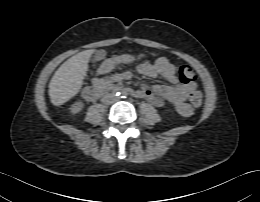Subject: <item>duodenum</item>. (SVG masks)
I'll return each instance as SVG.
<instances>
[{"mask_svg": "<svg viewBox=\"0 0 260 202\" xmlns=\"http://www.w3.org/2000/svg\"><path fill=\"white\" fill-rule=\"evenodd\" d=\"M117 88L113 85L111 82H106V81H100L96 85L87 87L83 90L82 96L84 99L88 101H93L95 100L98 96L101 94L108 92L110 90H116ZM127 93L134 94L131 90L126 89L125 90Z\"/></svg>", "mask_w": 260, "mask_h": 202, "instance_id": "410a0bca", "label": "duodenum"}]
</instances>
